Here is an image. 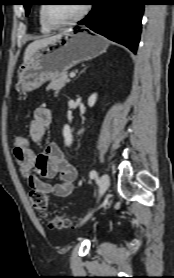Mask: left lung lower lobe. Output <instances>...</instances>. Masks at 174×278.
<instances>
[{"label": "left lung lower lobe", "instance_id": "1", "mask_svg": "<svg viewBox=\"0 0 174 278\" xmlns=\"http://www.w3.org/2000/svg\"><path fill=\"white\" fill-rule=\"evenodd\" d=\"M144 2L145 0H91L92 10L78 24L85 25L136 53Z\"/></svg>", "mask_w": 174, "mask_h": 278}]
</instances>
